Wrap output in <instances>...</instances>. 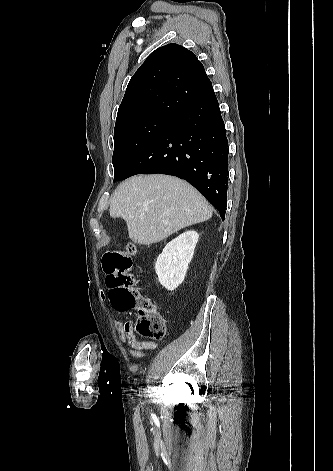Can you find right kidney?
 I'll use <instances>...</instances> for the list:
<instances>
[{
	"label": "right kidney",
	"mask_w": 333,
	"mask_h": 471,
	"mask_svg": "<svg viewBox=\"0 0 333 471\" xmlns=\"http://www.w3.org/2000/svg\"><path fill=\"white\" fill-rule=\"evenodd\" d=\"M198 238L196 231H186L170 241L158 256L155 270L167 290H175L184 281Z\"/></svg>",
	"instance_id": "ca27d5eb"
}]
</instances>
